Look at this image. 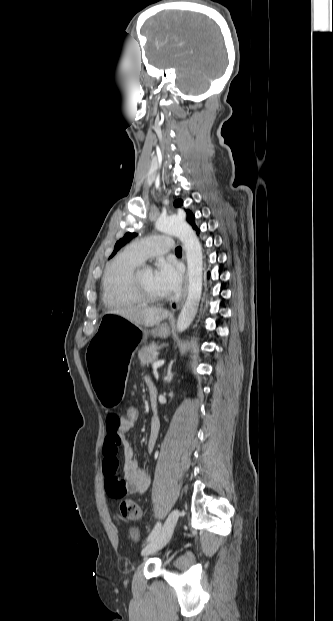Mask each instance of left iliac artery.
<instances>
[{
	"instance_id": "left-iliac-artery-1",
	"label": "left iliac artery",
	"mask_w": 333,
	"mask_h": 621,
	"mask_svg": "<svg viewBox=\"0 0 333 621\" xmlns=\"http://www.w3.org/2000/svg\"><path fill=\"white\" fill-rule=\"evenodd\" d=\"M160 530H161V523L157 522L156 525L154 526L153 530L149 534V536L147 538V542L152 541L159 534Z\"/></svg>"
}]
</instances>
